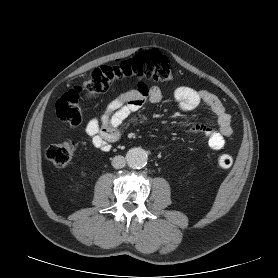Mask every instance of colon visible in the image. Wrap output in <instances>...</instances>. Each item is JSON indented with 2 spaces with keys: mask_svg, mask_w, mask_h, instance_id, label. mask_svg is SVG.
Here are the masks:
<instances>
[{
  "mask_svg": "<svg viewBox=\"0 0 278 278\" xmlns=\"http://www.w3.org/2000/svg\"><path fill=\"white\" fill-rule=\"evenodd\" d=\"M124 78L164 82L173 80L174 74L167 56L159 50L140 52L119 65H103L93 70L83 88L72 89L59 98L55 106L57 117L63 122L78 125L83 118L82 93L88 98H95ZM75 151V143L66 141L48 146L45 156L56 167L64 168L72 160ZM216 164L227 169L233 164V159L229 154L222 153L216 157Z\"/></svg>",
  "mask_w": 278,
  "mask_h": 278,
  "instance_id": "colon-1",
  "label": "colon"
}]
</instances>
